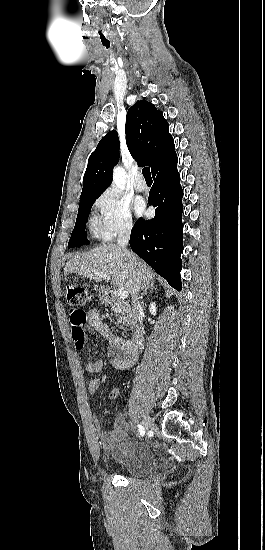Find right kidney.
I'll return each mask as SVG.
<instances>
[{
  "instance_id": "ca27d5eb",
  "label": "right kidney",
  "mask_w": 265,
  "mask_h": 550,
  "mask_svg": "<svg viewBox=\"0 0 265 550\" xmlns=\"http://www.w3.org/2000/svg\"><path fill=\"white\" fill-rule=\"evenodd\" d=\"M149 311L152 315H156L157 313V307L155 302H151L149 306Z\"/></svg>"
}]
</instances>
